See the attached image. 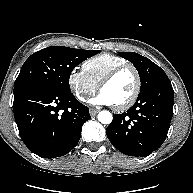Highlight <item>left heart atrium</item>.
Wrapping results in <instances>:
<instances>
[{"instance_id": "39dd6f15", "label": "left heart atrium", "mask_w": 193, "mask_h": 193, "mask_svg": "<svg viewBox=\"0 0 193 193\" xmlns=\"http://www.w3.org/2000/svg\"><path fill=\"white\" fill-rule=\"evenodd\" d=\"M89 102L95 105H112L111 100L107 97V95H105L101 91L95 97H93Z\"/></svg>"}]
</instances>
